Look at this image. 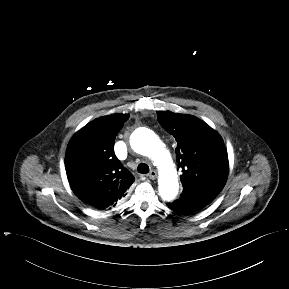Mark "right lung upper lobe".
Here are the masks:
<instances>
[{
	"label": "right lung upper lobe",
	"instance_id": "cb5924a9",
	"mask_svg": "<svg viewBox=\"0 0 289 289\" xmlns=\"http://www.w3.org/2000/svg\"><path fill=\"white\" fill-rule=\"evenodd\" d=\"M128 118L112 114L96 119L68 144L65 167L70 186L79 199L96 208L115 206L135 180L114 153L115 136Z\"/></svg>",
	"mask_w": 289,
	"mask_h": 289
}]
</instances>
